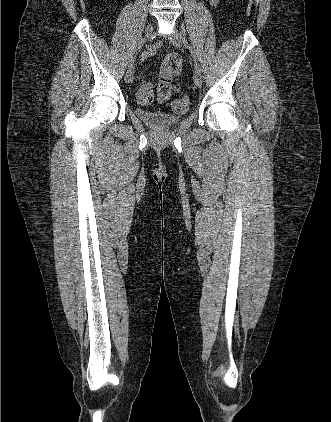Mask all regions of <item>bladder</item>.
<instances>
[{
	"instance_id": "obj_1",
	"label": "bladder",
	"mask_w": 331,
	"mask_h": 422,
	"mask_svg": "<svg viewBox=\"0 0 331 422\" xmlns=\"http://www.w3.org/2000/svg\"><path fill=\"white\" fill-rule=\"evenodd\" d=\"M187 109L177 113H170L163 110H149L137 107L136 115L148 126L156 129L168 128L176 126L181 121V117L186 113Z\"/></svg>"
}]
</instances>
